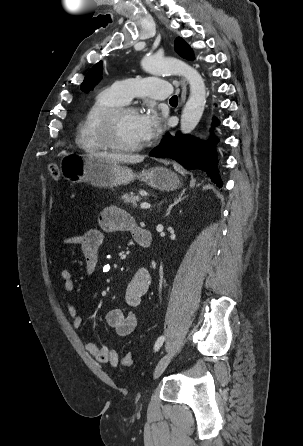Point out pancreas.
I'll return each instance as SVG.
<instances>
[{"label":"pancreas","instance_id":"1","mask_svg":"<svg viewBox=\"0 0 303 446\" xmlns=\"http://www.w3.org/2000/svg\"><path fill=\"white\" fill-rule=\"evenodd\" d=\"M122 200L128 206L135 208L137 206V203L141 200V198L138 195H135L134 193H130V194H123Z\"/></svg>","mask_w":303,"mask_h":446}]
</instances>
